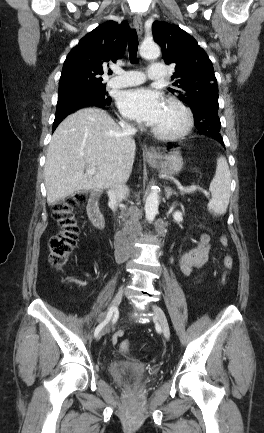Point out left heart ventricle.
I'll return each mask as SVG.
<instances>
[{"instance_id": "obj_1", "label": "left heart ventricle", "mask_w": 264, "mask_h": 433, "mask_svg": "<svg viewBox=\"0 0 264 433\" xmlns=\"http://www.w3.org/2000/svg\"><path fill=\"white\" fill-rule=\"evenodd\" d=\"M183 120V115L177 109L166 105L161 119L154 125V128L163 131H174L182 126Z\"/></svg>"}]
</instances>
